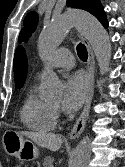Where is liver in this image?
I'll return each instance as SVG.
<instances>
[{
	"label": "liver",
	"mask_w": 125,
	"mask_h": 167,
	"mask_svg": "<svg viewBox=\"0 0 125 167\" xmlns=\"http://www.w3.org/2000/svg\"><path fill=\"white\" fill-rule=\"evenodd\" d=\"M18 134L31 139L35 144L51 151L59 150L63 143L62 137L53 133L21 131Z\"/></svg>",
	"instance_id": "1"
}]
</instances>
